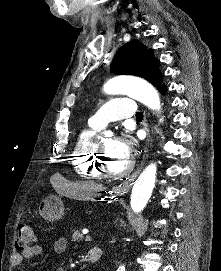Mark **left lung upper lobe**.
Instances as JSON below:
<instances>
[{
    "label": "left lung upper lobe",
    "instance_id": "left-lung-upper-lobe-1",
    "mask_svg": "<svg viewBox=\"0 0 221 271\" xmlns=\"http://www.w3.org/2000/svg\"><path fill=\"white\" fill-rule=\"evenodd\" d=\"M159 61L152 49H147L138 40L124 44L116 53L111 71L117 75H135L151 82L155 87H162V75L158 69Z\"/></svg>",
    "mask_w": 221,
    "mask_h": 271
}]
</instances>
